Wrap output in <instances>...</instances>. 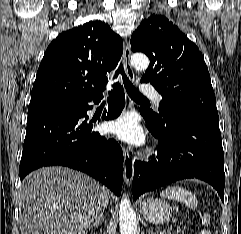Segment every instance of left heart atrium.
Returning <instances> with one entry per match:
<instances>
[{
    "label": "left heart atrium",
    "mask_w": 241,
    "mask_h": 234,
    "mask_svg": "<svg viewBox=\"0 0 241 234\" xmlns=\"http://www.w3.org/2000/svg\"><path fill=\"white\" fill-rule=\"evenodd\" d=\"M110 131L119 139L132 145H140L144 142V133L132 114H124L112 121Z\"/></svg>",
    "instance_id": "1"
}]
</instances>
